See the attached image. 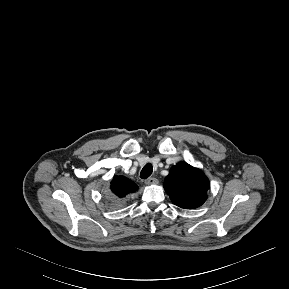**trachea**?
Instances as JSON below:
<instances>
[{"label":"trachea","mask_w":289,"mask_h":289,"mask_svg":"<svg viewBox=\"0 0 289 289\" xmlns=\"http://www.w3.org/2000/svg\"><path fill=\"white\" fill-rule=\"evenodd\" d=\"M153 172V167L150 163H147L140 172V177L142 179L148 178Z\"/></svg>","instance_id":"trachea-1"}]
</instances>
